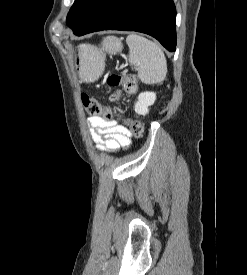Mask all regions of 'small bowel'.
<instances>
[{
	"instance_id": "c3829d8e",
	"label": "small bowel",
	"mask_w": 247,
	"mask_h": 275,
	"mask_svg": "<svg viewBox=\"0 0 247 275\" xmlns=\"http://www.w3.org/2000/svg\"><path fill=\"white\" fill-rule=\"evenodd\" d=\"M96 147L105 153H113L120 148H128L131 143L130 131L116 120H109L100 115H92L88 119Z\"/></svg>"
}]
</instances>
